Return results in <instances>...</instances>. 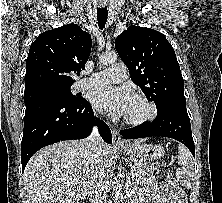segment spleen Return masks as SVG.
<instances>
[{
  "label": "spleen",
  "instance_id": "spleen-1",
  "mask_svg": "<svg viewBox=\"0 0 222 203\" xmlns=\"http://www.w3.org/2000/svg\"><path fill=\"white\" fill-rule=\"evenodd\" d=\"M178 149L179 154L177 158L181 168L176 170V178L183 186L190 188L195 176L194 162L189 150L185 146L179 145Z\"/></svg>",
  "mask_w": 222,
  "mask_h": 203
}]
</instances>
